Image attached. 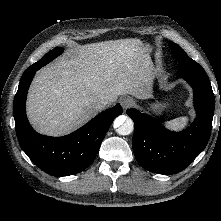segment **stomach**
Segmentation results:
<instances>
[{"label": "stomach", "mask_w": 221, "mask_h": 221, "mask_svg": "<svg viewBox=\"0 0 221 221\" xmlns=\"http://www.w3.org/2000/svg\"><path fill=\"white\" fill-rule=\"evenodd\" d=\"M143 44V48L145 53L150 57V54L152 52V45L149 42H142ZM165 106L161 103H156L152 106V108L154 109V111H156L157 113L161 112V109H163Z\"/></svg>", "instance_id": "obj_1"}]
</instances>
